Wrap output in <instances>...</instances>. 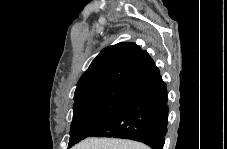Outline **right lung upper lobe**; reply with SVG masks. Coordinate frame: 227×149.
<instances>
[{"label":"right lung upper lobe","instance_id":"right-lung-upper-lobe-1","mask_svg":"<svg viewBox=\"0 0 227 149\" xmlns=\"http://www.w3.org/2000/svg\"><path fill=\"white\" fill-rule=\"evenodd\" d=\"M159 72L149 54L138 45L122 42L108 46L99 53L79 79L74 100L112 84L136 88Z\"/></svg>","mask_w":227,"mask_h":149}]
</instances>
